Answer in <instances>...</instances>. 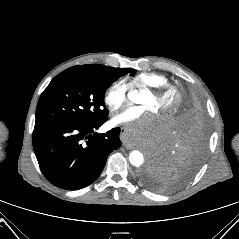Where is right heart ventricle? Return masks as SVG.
Instances as JSON below:
<instances>
[{"label": "right heart ventricle", "mask_w": 239, "mask_h": 239, "mask_svg": "<svg viewBox=\"0 0 239 239\" xmlns=\"http://www.w3.org/2000/svg\"><path fill=\"white\" fill-rule=\"evenodd\" d=\"M169 83V79L159 73L143 72L133 76L130 79V84L135 87H159Z\"/></svg>", "instance_id": "1"}]
</instances>
